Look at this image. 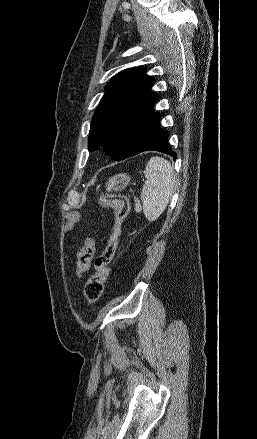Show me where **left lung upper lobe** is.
Returning <instances> with one entry per match:
<instances>
[{
  "instance_id": "left-lung-upper-lobe-1",
  "label": "left lung upper lobe",
  "mask_w": 257,
  "mask_h": 439,
  "mask_svg": "<svg viewBox=\"0 0 257 439\" xmlns=\"http://www.w3.org/2000/svg\"><path fill=\"white\" fill-rule=\"evenodd\" d=\"M145 72V68L126 69L106 85L91 122L89 151L103 146L116 161L132 151L158 99L150 91L155 79Z\"/></svg>"
}]
</instances>
